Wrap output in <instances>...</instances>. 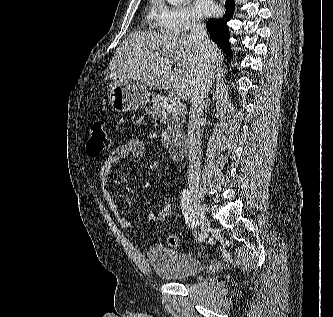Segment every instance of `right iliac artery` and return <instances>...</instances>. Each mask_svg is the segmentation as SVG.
<instances>
[{"instance_id": "82829eb1", "label": "right iliac artery", "mask_w": 333, "mask_h": 317, "mask_svg": "<svg viewBox=\"0 0 333 317\" xmlns=\"http://www.w3.org/2000/svg\"><path fill=\"white\" fill-rule=\"evenodd\" d=\"M181 209L186 223L191 227H197L198 219L191 203L190 192L187 189L181 192ZM198 240H204L202 234L198 235Z\"/></svg>"}]
</instances>
